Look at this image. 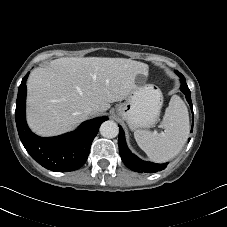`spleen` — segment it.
<instances>
[{"label": "spleen", "mask_w": 227, "mask_h": 227, "mask_svg": "<svg viewBox=\"0 0 227 227\" xmlns=\"http://www.w3.org/2000/svg\"><path fill=\"white\" fill-rule=\"evenodd\" d=\"M161 126L164 131L135 130L138 146L154 162L174 158L183 148L189 136V115L182 99L173 95L165 110Z\"/></svg>", "instance_id": "spleen-1"}]
</instances>
